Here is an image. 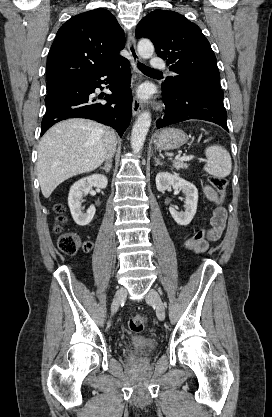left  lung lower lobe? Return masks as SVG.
Instances as JSON below:
<instances>
[{"label":"left lung lower lobe","mask_w":272,"mask_h":417,"mask_svg":"<svg viewBox=\"0 0 272 417\" xmlns=\"http://www.w3.org/2000/svg\"><path fill=\"white\" fill-rule=\"evenodd\" d=\"M162 92L166 109L164 116L156 121L158 129L189 119H202L228 131L227 112L222 99L206 96L187 86H180L173 91L162 86Z\"/></svg>","instance_id":"1"}]
</instances>
